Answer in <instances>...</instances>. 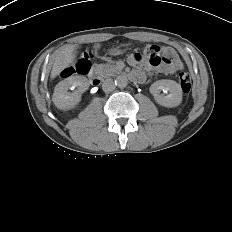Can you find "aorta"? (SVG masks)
I'll return each mask as SVG.
<instances>
[{"label": "aorta", "instance_id": "aorta-1", "mask_svg": "<svg viewBox=\"0 0 232 232\" xmlns=\"http://www.w3.org/2000/svg\"><path fill=\"white\" fill-rule=\"evenodd\" d=\"M127 84H128V79L124 75L118 76L115 80V85L119 88H125Z\"/></svg>", "mask_w": 232, "mask_h": 232}]
</instances>
